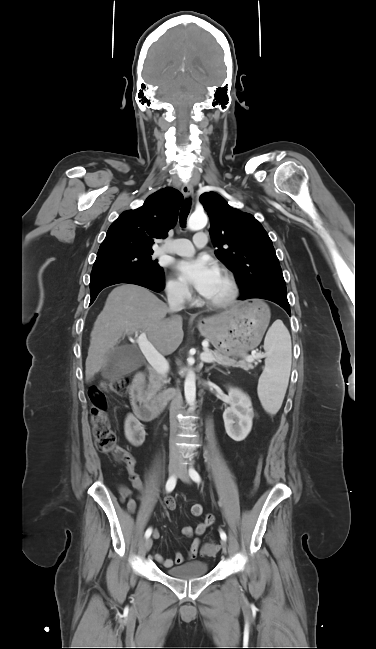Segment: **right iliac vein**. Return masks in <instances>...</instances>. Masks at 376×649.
I'll return each mask as SVG.
<instances>
[{
    "label": "right iliac vein",
    "mask_w": 376,
    "mask_h": 649,
    "mask_svg": "<svg viewBox=\"0 0 376 649\" xmlns=\"http://www.w3.org/2000/svg\"><path fill=\"white\" fill-rule=\"evenodd\" d=\"M177 469H178V464H177V462H176V461H172V462L169 464V468H168V470H169V474H170V475H174L175 472L177 471ZM152 544H153L152 539H151V538H147L146 541H145V543H144V550H145V552H148V551L151 549Z\"/></svg>",
    "instance_id": "obj_1"
}]
</instances>
